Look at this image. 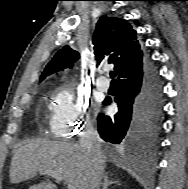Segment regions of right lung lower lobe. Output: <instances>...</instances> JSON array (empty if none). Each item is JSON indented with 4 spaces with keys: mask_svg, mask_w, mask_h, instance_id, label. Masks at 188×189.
<instances>
[{
    "mask_svg": "<svg viewBox=\"0 0 188 189\" xmlns=\"http://www.w3.org/2000/svg\"><path fill=\"white\" fill-rule=\"evenodd\" d=\"M114 101L118 113L110 118L98 115V132L109 143L130 147L138 155H147L157 141L162 117V92L157 69L146 57L136 74L117 81ZM111 103L105 99L103 104Z\"/></svg>",
    "mask_w": 188,
    "mask_h": 189,
    "instance_id": "right-lung-lower-lobe-1",
    "label": "right lung lower lobe"
}]
</instances>
